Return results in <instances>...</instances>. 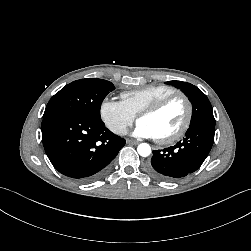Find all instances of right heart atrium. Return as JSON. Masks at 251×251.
<instances>
[{
    "label": "right heart atrium",
    "instance_id": "1",
    "mask_svg": "<svg viewBox=\"0 0 251 251\" xmlns=\"http://www.w3.org/2000/svg\"><path fill=\"white\" fill-rule=\"evenodd\" d=\"M99 114L105 126L116 135L126 134L135 120V116L121 101L110 98L101 102Z\"/></svg>",
    "mask_w": 251,
    "mask_h": 251
}]
</instances>
